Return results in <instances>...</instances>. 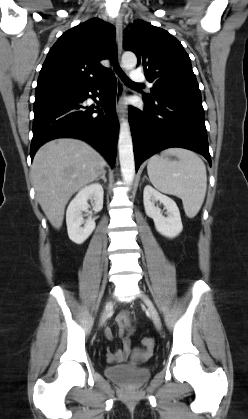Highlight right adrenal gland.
Segmentation results:
<instances>
[{
	"label": "right adrenal gland",
	"instance_id": "obj_1",
	"mask_svg": "<svg viewBox=\"0 0 248 419\" xmlns=\"http://www.w3.org/2000/svg\"><path fill=\"white\" fill-rule=\"evenodd\" d=\"M105 175H106V170H103L101 176L99 178H97V181L100 180V179H103L104 182H107V179H106Z\"/></svg>",
	"mask_w": 248,
	"mask_h": 419
}]
</instances>
